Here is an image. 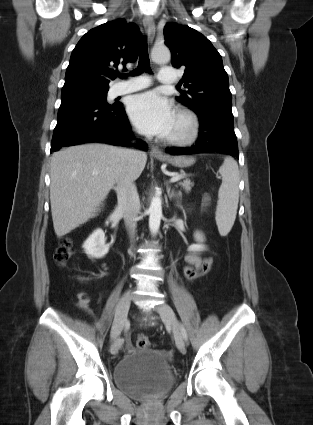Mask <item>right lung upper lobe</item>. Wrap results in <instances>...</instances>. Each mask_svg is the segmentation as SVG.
<instances>
[{"mask_svg": "<svg viewBox=\"0 0 313 425\" xmlns=\"http://www.w3.org/2000/svg\"><path fill=\"white\" fill-rule=\"evenodd\" d=\"M141 32L134 23L118 19L88 31L72 51L65 74L64 91L109 88L119 63L138 56Z\"/></svg>", "mask_w": 313, "mask_h": 425, "instance_id": "obj_1", "label": "right lung upper lobe"}]
</instances>
